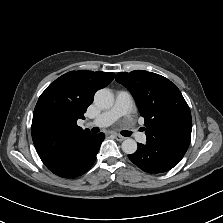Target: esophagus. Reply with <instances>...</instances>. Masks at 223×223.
<instances>
[{
  "instance_id": "1",
  "label": "esophagus",
  "mask_w": 223,
  "mask_h": 223,
  "mask_svg": "<svg viewBox=\"0 0 223 223\" xmlns=\"http://www.w3.org/2000/svg\"><path fill=\"white\" fill-rule=\"evenodd\" d=\"M115 139L118 140V141H123V140L125 139V137L116 134V135H115Z\"/></svg>"
}]
</instances>
